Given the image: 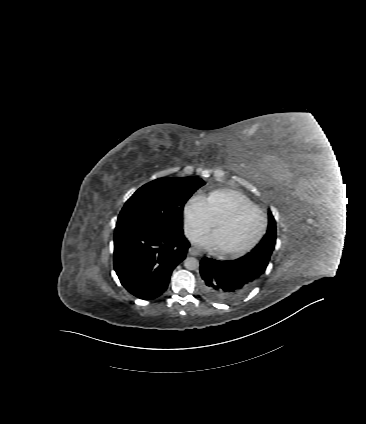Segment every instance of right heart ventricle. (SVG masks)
<instances>
[{
    "label": "right heart ventricle",
    "mask_w": 366,
    "mask_h": 424,
    "mask_svg": "<svg viewBox=\"0 0 366 424\" xmlns=\"http://www.w3.org/2000/svg\"><path fill=\"white\" fill-rule=\"evenodd\" d=\"M202 200L207 216L212 224L238 206L254 204L246 194L232 188L215 189L202 197Z\"/></svg>",
    "instance_id": "right-heart-ventricle-1"
}]
</instances>
